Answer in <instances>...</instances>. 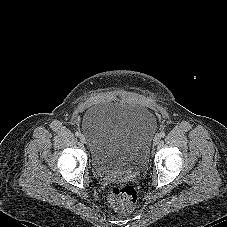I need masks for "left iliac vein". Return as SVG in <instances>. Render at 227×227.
<instances>
[{
  "label": "left iliac vein",
  "instance_id": "obj_1",
  "mask_svg": "<svg viewBox=\"0 0 227 227\" xmlns=\"http://www.w3.org/2000/svg\"><path fill=\"white\" fill-rule=\"evenodd\" d=\"M160 141H161L160 134H156L155 137H154V139H153V144L154 145H158L160 143Z\"/></svg>",
  "mask_w": 227,
  "mask_h": 227
}]
</instances>
